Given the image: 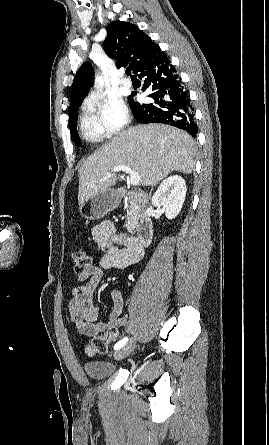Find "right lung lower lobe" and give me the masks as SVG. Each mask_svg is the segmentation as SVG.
I'll return each mask as SVG.
<instances>
[{"label": "right lung lower lobe", "instance_id": "obj_1", "mask_svg": "<svg viewBox=\"0 0 269 445\" xmlns=\"http://www.w3.org/2000/svg\"><path fill=\"white\" fill-rule=\"evenodd\" d=\"M144 78L143 91L151 88L149 97L154 103L140 104L130 96V104L136 120L141 123H165L188 132L195 137L198 128L194 121V108L190 104V95L176 73L168 56L147 64L138 74Z\"/></svg>", "mask_w": 269, "mask_h": 445}]
</instances>
